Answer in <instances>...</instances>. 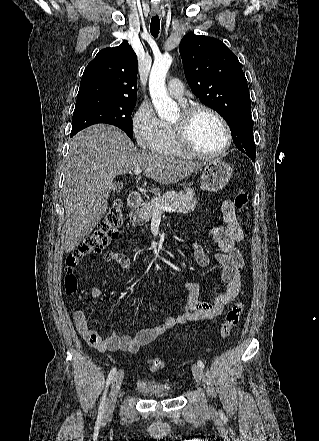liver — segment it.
Wrapping results in <instances>:
<instances>
[{
    "label": "liver",
    "instance_id": "1",
    "mask_svg": "<svg viewBox=\"0 0 319 441\" xmlns=\"http://www.w3.org/2000/svg\"><path fill=\"white\" fill-rule=\"evenodd\" d=\"M204 164L140 151L122 130L108 124L77 133L70 141L64 169V251H73L104 216L116 176L141 168L146 177L167 185L186 178Z\"/></svg>",
    "mask_w": 319,
    "mask_h": 441
}]
</instances>
